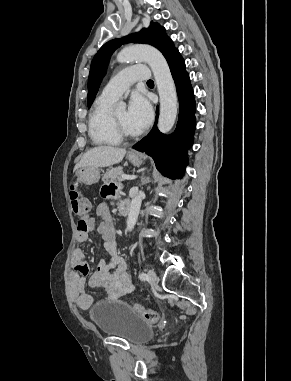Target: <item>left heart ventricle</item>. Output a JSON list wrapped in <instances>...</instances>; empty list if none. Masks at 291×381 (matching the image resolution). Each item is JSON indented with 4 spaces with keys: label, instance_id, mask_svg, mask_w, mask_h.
Here are the masks:
<instances>
[{
    "label": "left heart ventricle",
    "instance_id": "left-heart-ventricle-1",
    "mask_svg": "<svg viewBox=\"0 0 291 381\" xmlns=\"http://www.w3.org/2000/svg\"><path fill=\"white\" fill-rule=\"evenodd\" d=\"M119 123L124 128V130L130 134H136L138 133L130 124L129 118H128V111L126 109L119 110L115 113Z\"/></svg>",
    "mask_w": 291,
    "mask_h": 381
}]
</instances>
